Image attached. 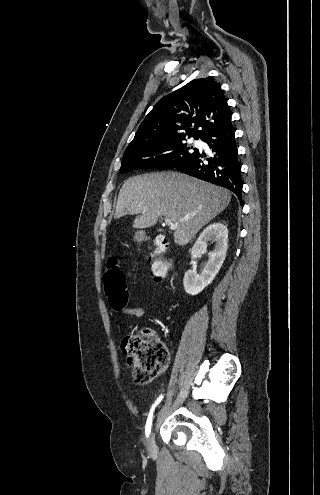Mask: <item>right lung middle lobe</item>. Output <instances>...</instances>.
Wrapping results in <instances>:
<instances>
[{
	"mask_svg": "<svg viewBox=\"0 0 320 495\" xmlns=\"http://www.w3.org/2000/svg\"><path fill=\"white\" fill-rule=\"evenodd\" d=\"M183 140L141 145L126 150L119 172L124 173L140 168H174L189 159L197 151L194 148V152L190 153L191 148L187 147L182 142Z\"/></svg>",
	"mask_w": 320,
	"mask_h": 495,
	"instance_id": "1",
	"label": "right lung middle lobe"
}]
</instances>
